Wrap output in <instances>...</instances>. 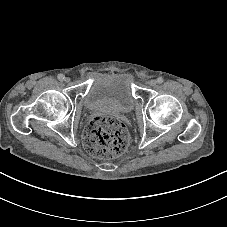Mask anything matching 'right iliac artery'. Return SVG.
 <instances>
[{
  "instance_id": "1",
  "label": "right iliac artery",
  "mask_w": 227,
  "mask_h": 227,
  "mask_svg": "<svg viewBox=\"0 0 227 227\" xmlns=\"http://www.w3.org/2000/svg\"><path fill=\"white\" fill-rule=\"evenodd\" d=\"M57 78H58L59 80H63V79L65 78V76H64L63 74H58Z\"/></svg>"
}]
</instances>
